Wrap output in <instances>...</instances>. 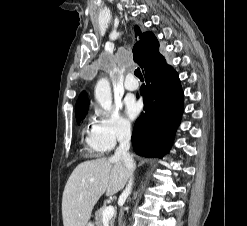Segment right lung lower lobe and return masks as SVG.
<instances>
[{
    "instance_id": "1",
    "label": "right lung lower lobe",
    "mask_w": 247,
    "mask_h": 226,
    "mask_svg": "<svg viewBox=\"0 0 247 226\" xmlns=\"http://www.w3.org/2000/svg\"><path fill=\"white\" fill-rule=\"evenodd\" d=\"M141 88L144 111L136 120L132 144L145 157H162L171 147L183 112V91L176 71L166 63L159 47L147 54Z\"/></svg>"
}]
</instances>
